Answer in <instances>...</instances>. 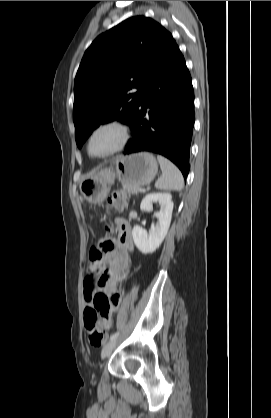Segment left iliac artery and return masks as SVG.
<instances>
[{
    "label": "left iliac artery",
    "mask_w": 271,
    "mask_h": 418,
    "mask_svg": "<svg viewBox=\"0 0 271 418\" xmlns=\"http://www.w3.org/2000/svg\"><path fill=\"white\" fill-rule=\"evenodd\" d=\"M119 334H120V332H119V331H118V332L113 333V334L110 336L109 341H112V340L116 339V338L119 336Z\"/></svg>",
    "instance_id": "1"
}]
</instances>
